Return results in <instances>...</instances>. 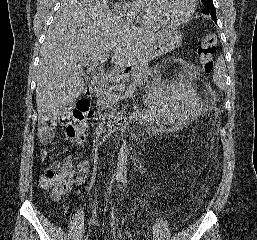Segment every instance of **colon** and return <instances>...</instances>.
<instances>
[{
  "instance_id": "1",
  "label": "colon",
  "mask_w": 257,
  "mask_h": 240,
  "mask_svg": "<svg viewBox=\"0 0 257 240\" xmlns=\"http://www.w3.org/2000/svg\"><path fill=\"white\" fill-rule=\"evenodd\" d=\"M217 52V37L213 33L204 35L198 48L201 69L211 73L214 67V56ZM93 114L89 102L78 101L74 106L66 109L59 117L62 124L66 126L68 137L75 143L80 144L83 140V133L86 121ZM54 121L47 122L43 127L51 130ZM74 167L71 159L63 162H53L42 179L44 186L52 190L55 197H61L72 187Z\"/></svg>"
}]
</instances>
